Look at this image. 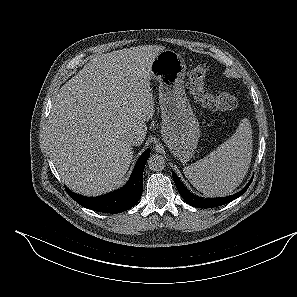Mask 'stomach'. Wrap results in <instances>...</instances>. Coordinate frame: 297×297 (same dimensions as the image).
I'll list each match as a JSON object with an SVG mask.
<instances>
[{
	"mask_svg": "<svg viewBox=\"0 0 297 297\" xmlns=\"http://www.w3.org/2000/svg\"><path fill=\"white\" fill-rule=\"evenodd\" d=\"M186 64L175 51H161L151 63V79L159 83L161 133L173 155L182 163L195 154L200 137L199 122L186 97Z\"/></svg>",
	"mask_w": 297,
	"mask_h": 297,
	"instance_id": "0dacf381",
	"label": "stomach"
}]
</instances>
